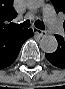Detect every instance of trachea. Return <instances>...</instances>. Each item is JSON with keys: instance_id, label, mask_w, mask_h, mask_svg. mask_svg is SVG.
I'll list each match as a JSON object with an SVG mask.
<instances>
[{"instance_id": "3493384b", "label": "trachea", "mask_w": 65, "mask_h": 89, "mask_svg": "<svg viewBox=\"0 0 65 89\" xmlns=\"http://www.w3.org/2000/svg\"><path fill=\"white\" fill-rule=\"evenodd\" d=\"M30 25H31V24H30V21H29V20H26V21H24V22L21 23V24H13V26H14L15 28H19V29H21V28H24V29L29 28ZM35 26H36L37 28L41 29V30H44V29H45L44 23H43V21H41V20H37V21L35 22Z\"/></svg>"}]
</instances>
